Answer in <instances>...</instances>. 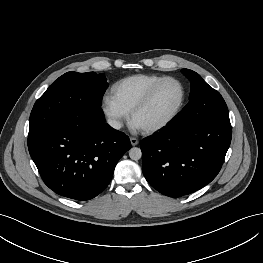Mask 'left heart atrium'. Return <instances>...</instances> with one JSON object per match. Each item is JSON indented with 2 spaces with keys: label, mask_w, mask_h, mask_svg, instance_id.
<instances>
[{
  "label": "left heart atrium",
  "mask_w": 263,
  "mask_h": 263,
  "mask_svg": "<svg viewBox=\"0 0 263 263\" xmlns=\"http://www.w3.org/2000/svg\"><path fill=\"white\" fill-rule=\"evenodd\" d=\"M133 127L134 128H140L135 122H133Z\"/></svg>",
  "instance_id": "1"
}]
</instances>
